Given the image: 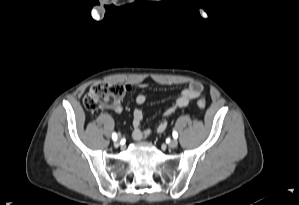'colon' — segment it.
<instances>
[{
	"mask_svg": "<svg viewBox=\"0 0 299 205\" xmlns=\"http://www.w3.org/2000/svg\"><path fill=\"white\" fill-rule=\"evenodd\" d=\"M127 88L121 84L98 81L91 85L85 95L83 103L87 110L96 111L102 107H112L124 97ZM197 105L201 110L206 107L203 98L197 99Z\"/></svg>",
	"mask_w": 299,
	"mask_h": 205,
	"instance_id": "5ec220e1",
	"label": "colon"
}]
</instances>
